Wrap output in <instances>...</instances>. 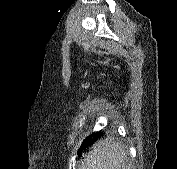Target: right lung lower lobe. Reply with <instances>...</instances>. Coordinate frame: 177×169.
Here are the masks:
<instances>
[{
	"instance_id": "obj_1",
	"label": "right lung lower lobe",
	"mask_w": 177,
	"mask_h": 169,
	"mask_svg": "<svg viewBox=\"0 0 177 169\" xmlns=\"http://www.w3.org/2000/svg\"><path fill=\"white\" fill-rule=\"evenodd\" d=\"M103 134L101 132H96L88 136L82 143L81 147H86L92 145L94 141L100 138Z\"/></svg>"
}]
</instances>
